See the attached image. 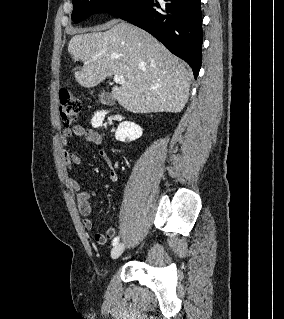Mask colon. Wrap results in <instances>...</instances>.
Returning <instances> with one entry per match:
<instances>
[{
    "label": "colon",
    "mask_w": 284,
    "mask_h": 319,
    "mask_svg": "<svg viewBox=\"0 0 284 319\" xmlns=\"http://www.w3.org/2000/svg\"><path fill=\"white\" fill-rule=\"evenodd\" d=\"M81 109L80 100L70 91L64 90L59 95V115L64 129L76 121Z\"/></svg>",
    "instance_id": "obj_1"
}]
</instances>
